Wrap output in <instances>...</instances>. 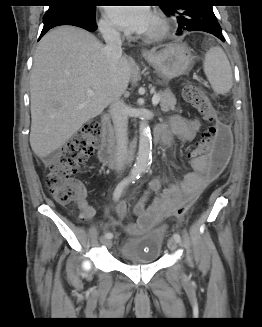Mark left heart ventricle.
I'll return each instance as SVG.
<instances>
[{
  "label": "left heart ventricle",
  "instance_id": "1",
  "mask_svg": "<svg viewBox=\"0 0 262 327\" xmlns=\"http://www.w3.org/2000/svg\"><path fill=\"white\" fill-rule=\"evenodd\" d=\"M152 26H153V21H152L151 25L149 26V28L147 29V31L150 30L152 28Z\"/></svg>",
  "mask_w": 262,
  "mask_h": 327
}]
</instances>
